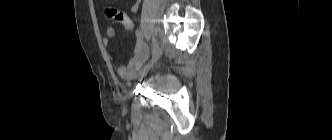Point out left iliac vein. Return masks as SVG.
Listing matches in <instances>:
<instances>
[{"label": "left iliac vein", "instance_id": "4c4485c4", "mask_svg": "<svg viewBox=\"0 0 332 140\" xmlns=\"http://www.w3.org/2000/svg\"><path fill=\"white\" fill-rule=\"evenodd\" d=\"M161 54H162V50L160 47H158L156 52L152 55V58L148 64L147 68H151L159 60Z\"/></svg>", "mask_w": 332, "mask_h": 140}]
</instances>
